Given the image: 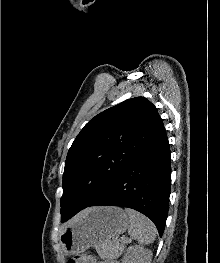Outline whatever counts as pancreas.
Here are the masks:
<instances>
[{"label": "pancreas", "mask_w": 220, "mask_h": 263, "mask_svg": "<svg viewBox=\"0 0 220 263\" xmlns=\"http://www.w3.org/2000/svg\"><path fill=\"white\" fill-rule=\"evenodd\" d=\"M122 246L116 242H108L98 248V253L101 258L113 259L120 254Z\"/></svg>", "instance_id": "obj_1"}]
</instances>
